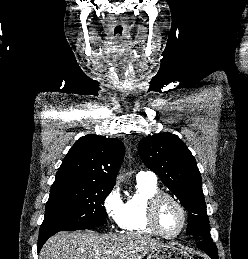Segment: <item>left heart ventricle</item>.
<instances>
[{
    "label": "left heart ventricle",
    "instance_id": "left-heart-ventricle-1",
    "mask_svg": "<svg viewBox=\"0 0 248 259\" xmlns=\"http://www.w3.org/2000/svg\"><path fill=\"white\" fill-rule=\"evenodd\" d=\"M157 216L159 225L166 234H174L180 229L182 215L171 200L165 199L160 203Z\"/></svg>",
    "mask_w": 248,
    "mask_h": 259
}]
</instances>
